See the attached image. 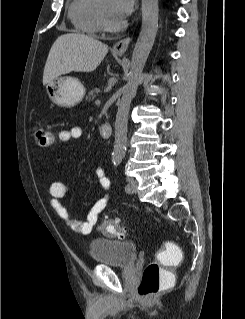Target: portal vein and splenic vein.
I'll use <instances>...</instances> for the list:
<instances>
[{
	"instance_id": "1",
	"label": "portal vein and splenic vein",
	"mask_w": 245,
	"mask_h": 319,
	"mask_svg": "<svg viewBox=\"0 0 245 319\" xmlns=\"http://www.w3.org/2000/svg\"><path fill=\"white\" fill-rule=\"evenodd\" d=\"M100 103H101L100 100H96V101H95V104H96V105H100Z\"/></svg>"
}]
</instances>
